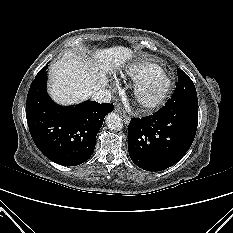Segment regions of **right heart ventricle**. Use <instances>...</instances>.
Returning a JSON list of instances; mask_svg holds the SVG:
<instances>
[{
	"label": "right heart ventricle",
	"instance_id": "1",
	"mask_svg": "<svg viewBox=\"0 0 233 233\" xmlns=\"http://www.w3.org/2000/svg\"><path fill=\"white\" fill-rule=\"evenodd\" d=\"M161 69L159 65L150 61H141L128 66L122 73L124 78L139 81L153 70Z\"/></svg>",
	"mask_w": 233,
	"mask_h": 233
}]
</instances>
